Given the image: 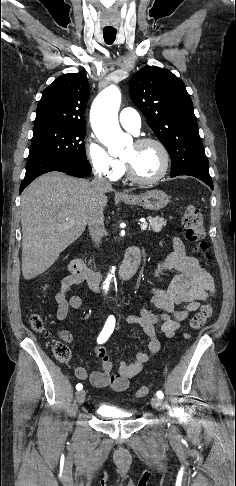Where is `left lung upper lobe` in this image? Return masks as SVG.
I'll return each mask as SVG.
<instances>
[{"label": "left lung upper lobe", "mask_w": 236, "mask_h": 486, "mask_svg": "<svg viewBox=\"0 0 236 486\" xmlns=\"http://www.w3.org/2000/svg\"><path fill=\"white\" fill-rule=\"evenodd\" d=\"M130 96L172 160V174L210 176L194 108L184 82L171 71L146 66L132 76Z\"/></svg>", "instance_id": "obj_1"}]
</instances>
